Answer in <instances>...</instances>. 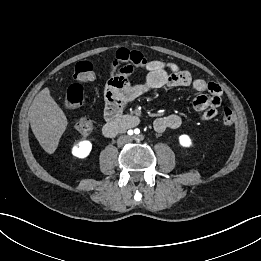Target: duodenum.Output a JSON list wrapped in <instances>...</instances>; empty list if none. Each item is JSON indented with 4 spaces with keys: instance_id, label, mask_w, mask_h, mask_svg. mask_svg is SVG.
I'll return each mask as SVG.
<instances>
[{
    "instance_id": "410a0bca",
    "label": "duodenum",
    "mask_w": 261,
    "mask_h": 261,
    "mask_svg": "<svg viewBox=\"0 0 261 261\" xmlns=\"http://www.w3.org/2000/svg\"><path fill=\"white\" fill-rule=\"evenodd\" d=\"M138 124V118L131 115H125L104 124L102 131L107 137H113L119 133L134 128Z\"/></svg>"
}]
</instances>
